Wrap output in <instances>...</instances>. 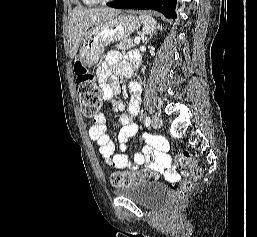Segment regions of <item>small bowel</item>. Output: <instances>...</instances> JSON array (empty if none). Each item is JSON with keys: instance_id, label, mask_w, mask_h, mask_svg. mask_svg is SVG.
Instances as JSON below:
<instances>
[{"instance_id": "c3829d8e", "label": "small bowel", "mask_w": 257, "mask_h": 237, "mask_svg": "<svg viewBox=\"0 0 257 237\" xmlns=\"http://www.w3.org/2000/svg\"><path fill=\"white\" fill-rule=\"evenodd\" d=\"M111 68H115L120 75L130 76L132 65L129 61L122 60L118 52L110 51L106 54L105 60L98 70V77L102 82V93L108 100V109L112 112H121L124 109L123 102L112 97L119 90V85L114 80ZM130 90L132 97L127 112L123 113L119 119L122 125L118 135L120 152L114 154V143L107 134V123L102 113L95 117L93 125L89 128L90 139L98 144L100 156L114 170H137L141 165L147 163L153 171L163 174L170 181H176L178 174L172 168V161L167 153L168 143L163 137H146L147 144L137 151L132 159L129 158L126 142L140 129L139 124L134 121V117L139 112L140 85L132 82Z\"/></svg>"}]
</instances>
